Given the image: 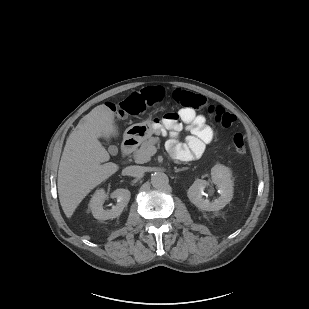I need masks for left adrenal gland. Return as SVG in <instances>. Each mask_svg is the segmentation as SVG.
I'll use <instances>...</instances> for the list:
<instances>
[{
    "label": "left adrenal gland",
    "instance_id": "obj_1",
    "mask_svg": "<svg viewBox=\"0 0 309 309\" xmlns=\"http://www.w3.org/2000/svg\"><path fill=\"white\" fill-rule=\"evenodd\" d=\"M174 169H175V172L177 173V172H180V171L187 170L188 167H183V168H181V169H178V168L175 167Z\"/></svg>",
    "mask_w": 309,
    "mask_h": 309
}]
</instances>
